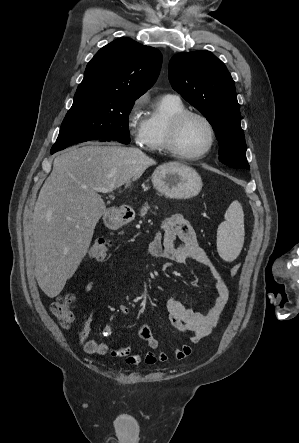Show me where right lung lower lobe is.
<instances>
[{"mask_svg":"<svg viewBox=\"0 0 299 443\" xmlns=\"http://www.w3.org/2000/svg\"><path fill=\"white\" fill-rule=\"evenodd\" d=\"M111 139H108V141H110ZM101 141H106V140H101ZM57 151H59V150H51V153L53 154V153H55V152H57Z\"/></svg>","mask_w":299,"mask_h":443,"instance_id":"98d812e1","label":"right lung lower lobe"}]
</instances>
